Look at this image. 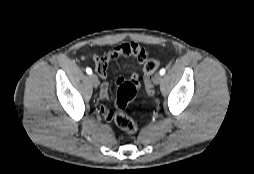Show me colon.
I'll return each mask as SVG.
<instances>
[{"instance_id":"5ec220e1","label":"colon","mask_w":254,"mask_h":174,"mask_svg":"<svg viewBox=\"0 0 254 174\" xmlns=\"http://www.w3.org/2000/svg\"><path fill=\"white\" fill-rule=\"evenodd\" d=\"M128 45L133 47L137 44ZM159 66L160 63L155 59H148L144 63V82L148 93H151L152 91V77ZM137 90L138 86L132 82H124L123 84L119 85L118 94L115 101V111L112 117L115 124L129 135H134L138 130V126L134 120L126 115L124 110L127 105L136 97Z\"/></svg>"}]
</instances>
